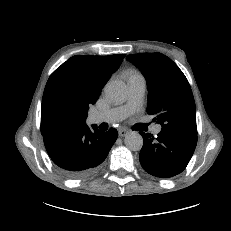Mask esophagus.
I'll return each instance as SVG.
<instances>
[{
	"label": "esophagus",
	"instance_id": "1",
	"mask_svg": "<svg viewBox=\"0 0 231 231\" xmlns=\"http://www.w3.org/2000/svg\"><path fill=\"white\" fill-rule=\"evenodd\" d=\"M128 133H129V131H128L127 129H125V128L119 129V136H120V137H124V136H126Z\"/></svg>",
	"mask_w": 231,
	"mask_h": 231
}]
</instances>
